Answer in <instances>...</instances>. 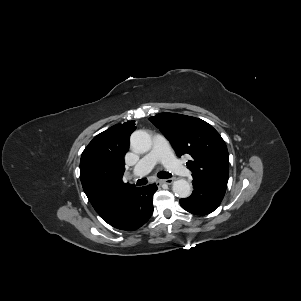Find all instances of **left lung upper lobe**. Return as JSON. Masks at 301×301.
Masks as SVG:
<instances>
[{
  "mask_svg": "<svg viewBox=\"0 0 301 301\" xmlns=\"http://www.w3.org/2000/svg\"><path fill=\"white\" fill-rule=\"evenodd\" d=\"M149 120L160 129L180 157L189 154L187 162L193 178L227 188L229 159L226 144L207 122L181 114L160 113Z\"/></svg>",
  "mask_w": 301,
  "mask_h": 301,
  "instance_id": "obj_1",
  "label": "left lung upper lobe"
}]
</instances>
